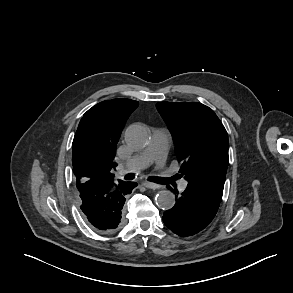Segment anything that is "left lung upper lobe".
<instances>
[{
  "label": "left lung upper lobe",
  "mask_w": 293,
  "mask_h": 293,
  "mask_svg": "<svg viewBox=\"0 0 293 293\" xmlns=\"http://www.w3.org/2000/svg\"><path fill=\"white\" fill-rule=\"evenodd\" d=\"M172 131L175 153L190 187L220 204L228 157V134L212 109L194 102L156 105Z\"/></svg>",
  "instance_id": "left-lung-upper-lobe-1"
}]
</instances>
